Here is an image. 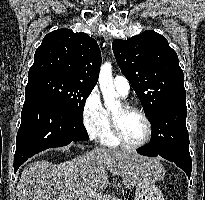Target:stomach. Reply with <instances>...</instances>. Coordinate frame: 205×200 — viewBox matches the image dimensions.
<instances>
[{"label":"stomach","mask_w":205,"mask_h":200,"mask_svg":"<svg viewBox=\"0 0 205 200\" xmlns=\"http://www.w3.org/2000/svg\"><path fill=\"white\" fill-rule=\"evenodd\" d=\"M156 170L162 169L160 163H156ZM134 200H165L160 189L155 186L154 177H144L137 181Z\"/></svg>","instance_id":"1"}]
</instances>
